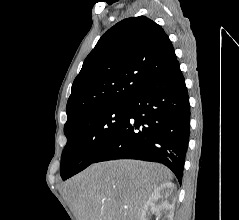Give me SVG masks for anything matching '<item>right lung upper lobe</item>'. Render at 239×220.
<instances>
[{"label":"right lung upper lobe","instance_id":"obj_1","mask_svg":"<svg viewBox=\"0 0 239 220\" xmlns=\"http://www.w3.org/2000/svg\"><path fill=\"white\" fill-rule=\"evenodd\" d=\"M176 61L161 26L144 16L120 21L86 57L72 85L64 127L95 110L126 103Z\"/></svg>","mask_w":239,"mask_h":220}]
</instances>
